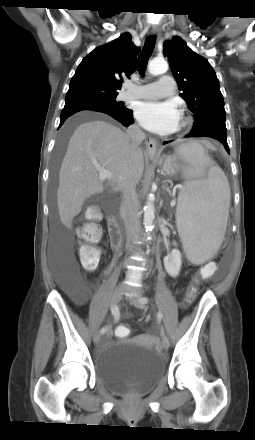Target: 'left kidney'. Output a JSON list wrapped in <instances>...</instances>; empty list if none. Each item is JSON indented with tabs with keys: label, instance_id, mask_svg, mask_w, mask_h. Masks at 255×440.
<instances>
[{
	"label": "left kidney",
	"instance_id": "5707ae66",
	"mask_svg": "<svg viewBox=\"0 0 255 440\" xmlns=\"http://www.w3.org/2000/svg\"><path fill=\"white\" fill-rule=\"evenodd\" d=\"M174 245H176V243H174ZM181 265V253L178 249H173L170 254L164 257L165 270L172 277L178 276Z\"/></svg>",
	"mask_w": 255,
	"mask_h": 440
}]
</instances>
